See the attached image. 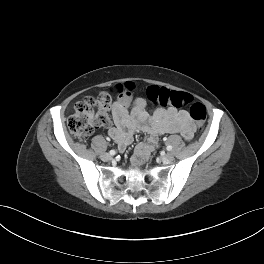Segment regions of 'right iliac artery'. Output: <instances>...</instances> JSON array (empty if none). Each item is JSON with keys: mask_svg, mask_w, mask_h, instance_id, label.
<instances>
[{"mask_svg": "<svg viewBox=\"0 0 264 264\" xmlns=\"http://www.w3.org/2000/svg\"><path fill=\"white\" fill-rule=\"evenodd\" d=\"M110 155H115L116 151L115 150H110Z\"/></svg>", "mask_w": 264, "mask_h": 264, "instance_id": "obj_1", "label": "right iliac artery"}]
</instances>
